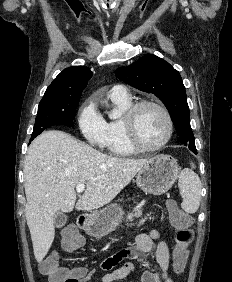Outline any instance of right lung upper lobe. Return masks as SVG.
I'll list each match as a JSON object with an SVG mask.
<instances>
[{
    "mask_svg": "<svg viewBox=\"0 0 232 282\" xmlns=\"http://www.w3.org/2000/svg\"><path fill=\"white\" fill-rule=\"evenodd\" d=\"M92 72L86 67L64 69L50 84L43 97H69L81 95L91 78Z\"/></svg>",
    "mask_w": 232,
    "mask_h": 282,
    "instance_id": "obj_1",
    "label": "right lung upper lobe"
}]
</instances>
